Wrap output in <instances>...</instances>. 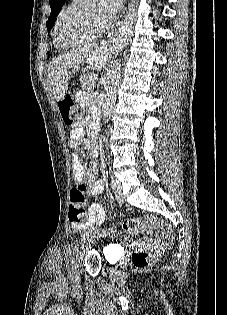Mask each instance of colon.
I'll list each match as a JSON object with an SVG mask.
<instances>
[{
	"mask_svg": "<svg viewBox=\"0 0 227 315\" xmlns=\"http://www.w3.org/2000/svg\"><path fill=\"white\" fill-rule=\"evenodd\" d=\"M59 109L63 121L67 125L73 124L76 118V106L69 96L59 101ZM87 201L85 198V185L78 183L70 191L69 219L74 223H83L88 219ZM162 223L155 216L145 218H132L125 220L121 225V231L126 235H139L146 232L150 226H161ZM117 233L116 227H108L102 230L105 236L113 237ZM132 262L138 268H144L152 264L153 256L146 251H136L132 255Z\"/></svg>",
	"mask_w": 227,
	"mask_h": 315,
	"instance_id": "obj_1",
	"label": "colon"
}]
</instances>
